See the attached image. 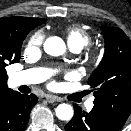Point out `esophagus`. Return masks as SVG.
Listing matches in <instances>:
<instances>
[{"label":"esophagus","instance_id":"1","mask_svg":"<svg viewBox=\"0 0 131 131\" xmlns=\"http://www.w3.org/2000/svg\"><path fill=\"white\" fill-rule=\"evenodd\" d=\"M46 100L49 103H53V102H61L63 99L54 95H46Z\"/></svg>","mask_w":131,"mask_h":131}]
</instances>
